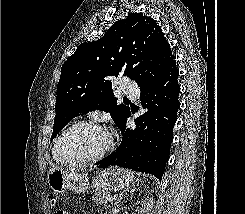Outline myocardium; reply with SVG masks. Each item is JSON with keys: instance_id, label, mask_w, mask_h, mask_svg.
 I'll list each match as a JSON object with an SVG mask.
<instances>
[{"instance_id": "f54148a6", "label": "myocardium", "mask_w": 245, "mask_h": 214, "mask_svg": "<svg viewBox=\"0 0 245 214\" xmlns=\"http://www.w3.org/2000/svg\"><path fill=\"white\" fill-rule=\"evenodd\" d=\"M83 125H87V126H92L100 131H102L104 133V135L106 136L107 142L105 147L95 156L89 157V158H85V159H75V160H67V159H62L59 157L58 155V146L61 142V140L64 138V136L70 132L72 129L79 127V126H83ZM114 146V142H113V138L110 135V133L103 127L101 126L98 122L94 121V120H90V119H85V120H80L77 121L75 123H73L72 125H70L69 127H67L55 140L53 148H52V153L53 156L55 158V160L63 165L66 166H81V165H88V164H94L96 162H99L100 160H102L112 149Z\"/></svg>"}]
</instances>
